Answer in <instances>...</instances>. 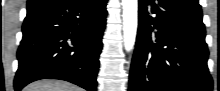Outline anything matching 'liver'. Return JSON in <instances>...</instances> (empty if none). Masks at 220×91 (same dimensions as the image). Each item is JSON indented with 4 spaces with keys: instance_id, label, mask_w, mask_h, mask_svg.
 Segmentation results:
<instances>
[{
    "instance_id": "6515ba94",
    "label": "liver",
    "mask_w": 220,
    "mask_h": 91,
    "mask_svg": "<svg viewBox=\"0 0 220 91\" xmlns=\"http://www.w3.org/2000/svg\"><path fill=\"white\" fill-rule=\"evenodd\" d=\"M23 91H82L80 88L63 81L42 80L29 84Z\"/></svg>"
}]
</instances>
